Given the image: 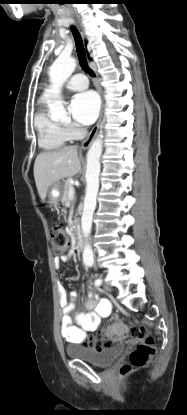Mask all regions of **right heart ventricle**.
Masks as SVG:
<instances>
[{"label":"right heart ventricle","mask_w":187,"mask_h":415,"mask_svg":"<svg viewBox=\"0 0 187 415\" xmlns=\"http://www.w3.org/2000/svg\"><path fill=\"white\" fill-rule=\"evenodd\" d=\"M45 103V99L41 102ZM39 146L46 150H55L63 147L69 140L62 124L52 120L45 109L41 107L34 118Z\"/></svg>","instance_id":"obj_1"}]
</instances>
